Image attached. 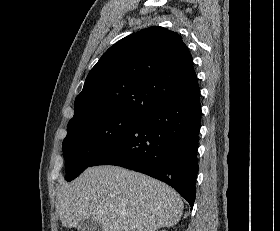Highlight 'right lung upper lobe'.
<instances>
[{"mask_svg":"<svg viewBox=\"0 0 280 231\" xmlns=\"http://www.w3.org/2000/svg\"><path fill=\"white\" fill-rule=\"evenodd\" d=\"M198 94L187 46L177 33L154 26L121 39L104 53L75 100L72 119L142 117L164 103Z\"/></svg>","mask_w":280,"mask_h":231,"instance_id":"obj_1","label":"right lung upper lobe"}]
</instances>
